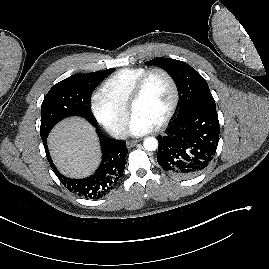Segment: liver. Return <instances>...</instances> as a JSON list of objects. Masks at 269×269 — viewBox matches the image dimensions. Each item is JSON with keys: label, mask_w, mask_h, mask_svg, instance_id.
<instances>
[{"label": "liver", "mask_w": 269, "mask_h": 269, "mask_svg": "<svg viewBox=\"0 0 269 269\" xmlns=\"http://www.w3.org/2000/svg\"><path fill=\"white\" fill-rule=\"evenodd\" d=\"M94 128L83 118H69L51 132L48 144L58 169L81 178L90 175L99 163V145Z\"/></svg>", "instance_id": "6515ba94"}]
</instances>
